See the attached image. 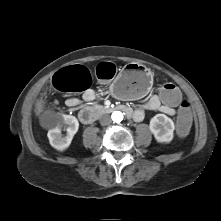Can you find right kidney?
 Masks as SVG:
<instances>
[{
    "instance_id": "right-kidney-1",
    "label": "right kidney",
    "mask_w": 221,
    "mask_h": 221,
    "mask_svg": "<svg viewBox=\"0 0 221 221\" xmlns=\"http://www.w3.org/2000/svg\"><path fill=\"white\" fill-rule=\"evenodd\" d=\"M64 126H67V135L62 136L61 131ZM79 122L76 117L71 115L60 114L54 120V127L48 131V139L50 145L59 151L66 150L77 133Z\"/></svg>"
}]
</instances>
